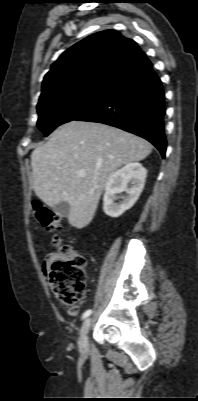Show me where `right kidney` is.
I'll use <instances>...</instances> for the list:
<instances>
[{
    "mask_svg": "<svg viewBox=\"0 0 198 401\" xmlns=\"http://www.w3.org/2000/svg\"><path fill=\"white\" fill-rule=\"evenodd\" d=\"M147 170L142 164L129 163L123 168L114 172L105 185L103 197V210L110 217L117 218L126 210L130 209L138 200L145 184ZM130 184V188H128ZM126 192L127 196L122 197L121 203H115L117 194Z\"/></svg>",
    "mask_w": 198,
    "mask_h": 401,
    "instance_id": "1",
    "label": "right kidney"
}]
</instances>
